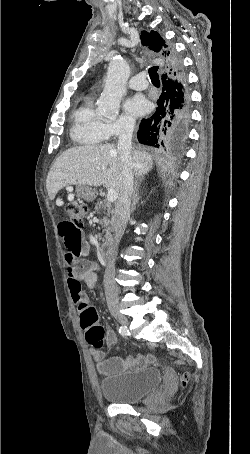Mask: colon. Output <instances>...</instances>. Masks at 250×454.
<instances>
[{"label": "colon", "mask_w": 250, "mask_h": 454, "mask_svg": "<svg viewBox=\"0 0 250 454\" xmlns=\"http://www.w3.org/2000/svg\"><path fill=\"white\" fill-rule=\"evenodd\" d=\"M68 221L76 228L83 226L84 220L88 214V207L81 202H70L66 206ZM80 325L84 330L86 341L93 348H101L103 345L105 330L100 324V314L98 310L88 305L80 312ZM186 377L183 378V383Z\"/></svg>", "instance_id": "colon-1"}]
</instances>
